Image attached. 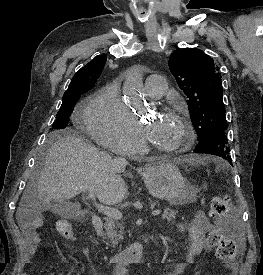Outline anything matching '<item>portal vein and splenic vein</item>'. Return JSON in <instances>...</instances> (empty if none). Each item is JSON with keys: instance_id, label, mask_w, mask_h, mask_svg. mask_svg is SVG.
Here are the masks:
<instances>
[{"instance_id": "obj_1", "label": "portal vein and splenic vein", "mask_w": 263, "mask_h": 275, "mask_svg": "<svg viewBox=\"0 0 263 275\" xmlns=\"http://www.w3.org/2000/svg\"><path fill=\"white\" fill-rule=\"evenodd\" d=\"M87 198L94 202L95 201V193L89 191ZM95 206L99 212H101V213L105 214L106 216L111 217L113 219L120 220L123 217L122 213L115 208H111L109 206H105V205L97 204V203H95ZM161 212H162L161 209H155L152 211V215L156 216V215H159Z\"/></svg>"}]
</instances>
